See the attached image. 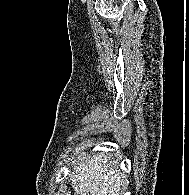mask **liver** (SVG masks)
Listing matches in <instances>:
<instances>
[{
    "instance_id": "liver-1",
    "label": "liver",
    "mask_w": 189,
    "mask_h": 195,
    "mask_svg": "<svg viewBox=\"0 0 189 195\" xmlns=\"http://www.w3.org/2000/svg\"><path fill=\"white\" fill-rule=\"evenodd\" d=\"M75 195H115L122 175L115 172L106 155L81 161L72 172Z\"/></svg>"
}]
</instances>
